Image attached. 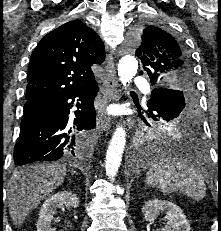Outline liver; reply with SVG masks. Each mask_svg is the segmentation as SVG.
I'll list each match as a JSON object with an SVG mask.
<instances>
[{"mask_svg":"<svg viewBox=\"0 0 221 231\" xmlns=\"http://www.w3.org/2000/svg\"><path fill=\"white\" fill-rule=\"evenodd\" d=\"M65 165L34 164L13 172L7 183L9 214L21 226L29 213L59 187L66 176Z\"/></svg>","mask_w":221,"mask_h":231,"instance_id":"liver-1","label":"liver"}]
</instances>
